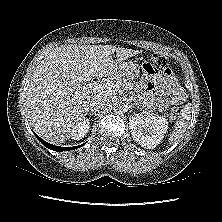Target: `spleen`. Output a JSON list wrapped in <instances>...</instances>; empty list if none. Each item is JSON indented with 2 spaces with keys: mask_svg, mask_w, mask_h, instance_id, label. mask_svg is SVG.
Wrapping results in <instances>:
<instances>
[{
  "mask_svg": "<svg viewBox=\"0 0 222 222\" xmlns=\"http://www.w3.org/2000/svg\"><path fill=\"white\" fill-rule=\"evenodd\" d=\"M190 110H191L190 104L185 105L184 108L181 110L180 115L178 116V119L175 123V127L170 134L168 140L169 145H173L179 142L184 132L188 128L191 119Z\"/></svg>",
  "mask_w": 222,
  "mask_h": 222,
  "instance_id": "obj_1",
  "label": "spleen"
}]
</instances>
